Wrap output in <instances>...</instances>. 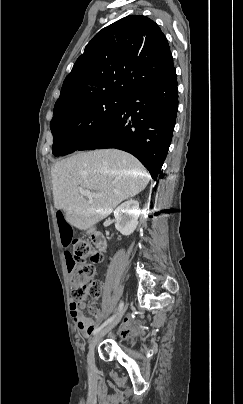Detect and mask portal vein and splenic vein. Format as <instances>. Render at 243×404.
<instances>
[{
	"instance_id": "1",
	"label": "portal vein and splenic vein",
	"mask_w": 243,
	"mask_h": 404,
	"mask_svg": "<svg viewBox=\"0 0 243 404\" xmlns=\"http://www.w3.org/2000/svg\"><path fill=\"white\" fill-rule=\"evenodd\" d=\"M81 194H83V196H86L88 200H93V198H98V196H101V194H93L91 190H82Z\"/></svg>"
}]
</instances>
